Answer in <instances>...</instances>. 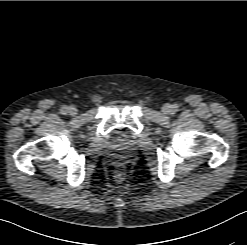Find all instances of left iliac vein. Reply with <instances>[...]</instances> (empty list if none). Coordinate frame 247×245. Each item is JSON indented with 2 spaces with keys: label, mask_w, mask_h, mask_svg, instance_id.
<instances>
[{
  "label": "left iliac vein",
  "mask_w": 247,
  "mask_h": 245,
  "mask_svg": "<svg viewBox=\"0 0 247 245\" xmlns=\"http://www.w3.org/2000/svg\"><path fill=\"white\" fill-rule=\"evenodd\" d=\"M172 111V106L170 105V104H164L163 106H162V112L164 113V114H170V112Z\"/></svg>",
  "instance_id": "left-iliac-vein-1"
}]
</instances>
